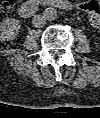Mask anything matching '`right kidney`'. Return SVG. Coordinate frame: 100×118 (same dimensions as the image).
<instances>
[{
  "instance_id": "right-kidney-1",
  "label": "right kidney",
  "mask_w": 100,
  "mask_h": 118,
  "mask_svg": "<svg viewBox=\"0 0 100 118\" xmlns=\"http://www.w3.org/2000/svg\"><path fill=\"white\" fill-rule=\"evenodd\" d=\"M20 21L14 18L5 19L0 24V39L2 41L14 40L19 33Z\"/></svg>"
}]
</instances>
